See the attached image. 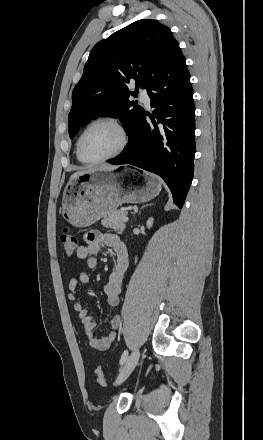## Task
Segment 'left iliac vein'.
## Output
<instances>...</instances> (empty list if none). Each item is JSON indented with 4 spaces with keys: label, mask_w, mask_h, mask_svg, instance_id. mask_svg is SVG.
<instances>
[{
    "label": "left iliac vein",
    "mask_w": 263,
    "mask_h": 440,
    "mask_svg": "<svg viewBox=\"0 0 263 440\" xmlns=\"http://www.w3.org/2000/svg\"><path fill=\"white\" fill-rule=\"evenodd\" d=\"M140 357V351L136 348L122 365L120 372L115 381V385L123 383L136 367Z\"/></svg>",
    "instance_id": "4c4485c4"
}]
</instances>
